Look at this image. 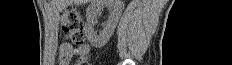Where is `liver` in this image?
Returning <instances> with one entry per match:
<instances>
[{
	"label": "liver",
	"instance_id": "obj_1",
	"mask_svg": "<svg viewBox=\"0 0 232 65\" xmlns=\"http://www.w3.org/2000/svg\"><path fill=\"white\" fill-rule=\"evenodd\" d=\"M92 2L93 0H57V6L60 10L65 8L68 5H73V4H85L88 2Z\"/></svg>",
	"mask_w": 232,
	"mask_h": 65
}]
</instances>
